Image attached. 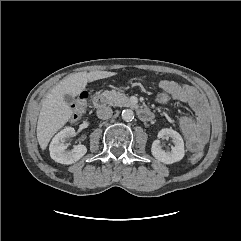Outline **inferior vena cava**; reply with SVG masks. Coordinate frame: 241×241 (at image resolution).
Listing matches in <instances>:
<instances>
[{"label":"inferior vena cava","mask_w":241,"mask_h":241,"mask_svg":"<svg viewBox=\"0 0 241 241\" xmlns=\"http://www.w3.org/2000/svg\"><path fill=\"white\" fill-rule=\"evenodd\" d=\"M112 109L108 106H103L97 110V116L100 119H109L112 116Z\"/></svg>","instance_id":"602c4592"}]
</instances>
